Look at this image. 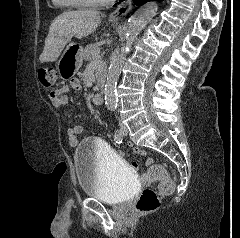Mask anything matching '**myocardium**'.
I'll return each mask as SVG.
<instances>
[{
  "instance_id": "f54148a6",
  "label": "myocardium",
  "mask_w": 240,
  "mask_h": 238,
  "mask_svg": "<svg viewBox=\"0 0 240 238\" xmlns=\"http://www.w3.org/2000/svg\"><path fill=\"white\" fill-rule=\"evenodd\" d=\"M63 1L71 7H79V8H99L113 2V0H103V1L63 0Z\"/></svg>"
}]
</instances>
